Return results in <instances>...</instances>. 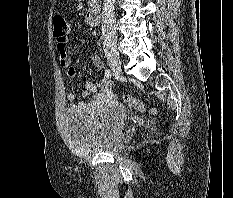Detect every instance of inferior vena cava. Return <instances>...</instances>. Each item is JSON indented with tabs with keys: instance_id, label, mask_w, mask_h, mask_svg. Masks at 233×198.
Here are the masks:
<instances>
[{
	"instance_id": "inferior-vena-cava-1",
	"label": "inferior vena cava",
	"mask_w": 233,
	"mask_h": 198,
	"mask_svg": "<svg viewBox=\"0 0 233 198\" xmlns=\"http://www.w3.org/2000/svg\"><path fill=\"white\" fill-rule=\"evenodd\" d=\"M114 3L104 0L103 16H102V40L104 51H116L117 40L115 31Z\"/></svg>"
}]
</instances>
